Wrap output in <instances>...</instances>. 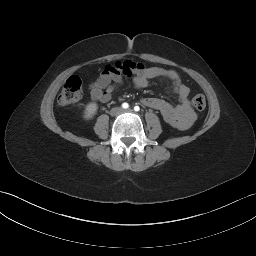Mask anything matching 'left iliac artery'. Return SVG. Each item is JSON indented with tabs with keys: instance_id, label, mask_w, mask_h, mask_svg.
Returning a JSON list of instances; mask_svg holds the SVG:
<instances>
[{
	"instance_id": "1",
	"label": "left iliac artery",
	"mask_w": 256,
	"mask_h": 256,
	"mask_svg": "<svg viewBox=\"0 0 256 256\" xmlns=\"http://www.w3.org/2000/svg\"><path fill=\"white\" fill-rule=\"evenodd\" d=\"M134 110H135V111H139V110H140V107H139V106H135V107H134Z\"/></svg>"
}]
</instances>
